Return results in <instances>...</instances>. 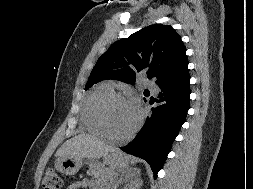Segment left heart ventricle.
Masks as SVG:
<instances>
[{
  "label": "left heart ventricle",
  "mask_w": 253,
  "mask_h": 189,
  "mask_svg": "<svg viewBox=\"0 0 253 189\" xmlns=\"http://www.w3.org/2000/svg\"><path fill=\"white\" fill-rule=\"evenodd\" d=\"M136 109L126 103L111 104L106 112V120L110 131L116 135L128 133L137 121Z\"/></svg>",
  "instance_id": "b2bd125f"
}]
</instances>
